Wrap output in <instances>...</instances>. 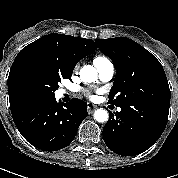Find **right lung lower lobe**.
<instances>
[{
	"label": "right lung lower lobe",
	"mask_w": 178,
	"mask_h": 178,
	"mask_svg": "<svg viewBox=\"0 0 178 178\" xmlns=\"http://www.w3.org/2000/svg\"><path fill=\"white\" fill-rule=\"evenodd\" d=\"M10 109L22 136L44 151L67 147L88 116L87 104L83 100L74 98L69 103L60 104L55 96H19L10 100Z\"/></svg>",
	"instance_id": "98d812e1"
}]
</instances>
